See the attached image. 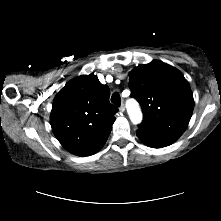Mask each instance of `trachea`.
<instances>
[{
  "label": "trachea",
  "instance_id": "obj_1",
  "mask_svg": "<svg viewBox=\"0 0 221 221\" xmlns=\"http://www.w3.org/2000/svg\"><path fill=\"white\" fill-rule=\"evenodd\" d=\"M111 102L115 104L116 106H120L121 104V98L118 93H114L111 97Z\"/></svg>",
  "mask_w": 221,
  "mask_h": 221
}]
</instances>
